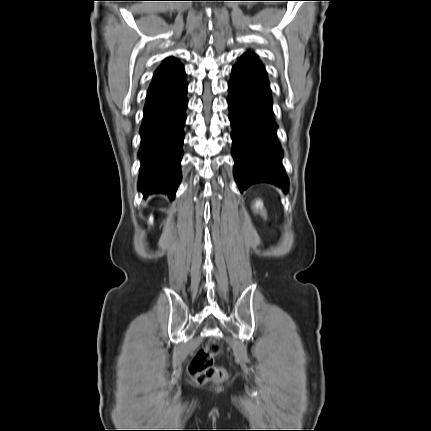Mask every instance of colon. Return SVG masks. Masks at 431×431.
<instances>
[{"label": "colon", "instance_id": "5ec220e1", "mask_svg": "<svg viewBox=\"0 0 431 431\" xmlns=\"http://www.w3.org/2000/svg\"><path fill=\"white\" fill-rule=\"evenodd\" d=\"M221 350L222 346L217 340H209L191 360L188 374L198 385H204L208 381L221 383L226 380L225 369L214 365V358Z\"/></svg>", "mask_w": 431, "mask_h": 431}]
</instances>
